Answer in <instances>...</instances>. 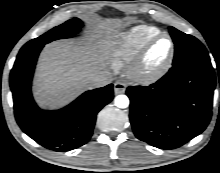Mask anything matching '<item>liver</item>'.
<instances>
[{
	"label": "liver",
	"instance_id": "liver-1",
	"mask_svg": "<svg viewBox=\"0 0 220 173\" xmlns=\"http://www.w3.org/2000/svg\"><path fill=\"white\" fill-rule=\"evenodd\" d=\"M122 25L118 19L93 24L85 42L57 40L42 50L33 82V94L42 107H59L90 89V79L102 71L106 59L103 38Z\"/></svg>",
	"mask_w": 220,
	"mask_h": 173
}]
</instances>
